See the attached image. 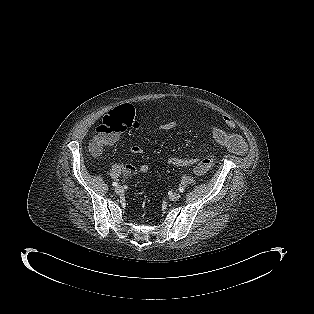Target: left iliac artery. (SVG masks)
<instances>
[{"mask_svg":"<svg viewBox=\"0 0 314 314\" xmlns=\"http://www.w3.org/2000/svg\"><path fill=\"white\" fill-rule=\"evenodd\" d=\"M179 192H184V188H183V187H180V188H179Z\"/></svg>","mask_w":314,"mask_h":314,"instance_id":"44dca946","label":"left iliac artery"}]
</instances>
